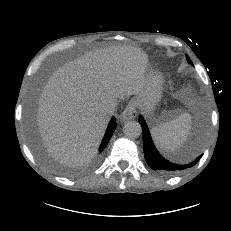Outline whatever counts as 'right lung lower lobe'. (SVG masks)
<instances>
[{"instance_id":"98d812e1","label":"right lung lower lobe","mask_w":231,"mask_h":231,"mask_svg":"<svg viewBox=\"0 0 231 231\" xmlns=\"http://www.w3.org/2000/svg\"><path fill=\"white\" fill-rule=\"evenodd\" d=\"M115 129H116V120L115 118H113L108 125L107 131L105 133V136L103 138L99 151H102L103 149H105Z\"/></svg>"}]
</instances>
